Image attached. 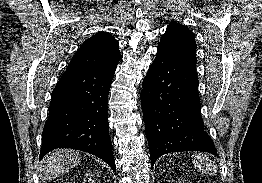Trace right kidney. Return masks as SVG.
Returning <instances> with one entry per match:
<instances>
[{
	"label": "right kidney",
	"mask_w": 262,
	"mask_h": 183,
	"mask_svg": "<svg viewBox=\"0 0 262 183\" xmlns=\"http://www.w3.org/2000/svg\"><path fill=\"white\" fill-rule=\"evenodd\" d=\"M93 177H94L93 174H87L86 178L84 179V183H94L93 182Z\"/></svg>",
	"instance_id": "1"
}]
</instances>
